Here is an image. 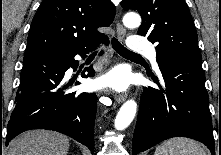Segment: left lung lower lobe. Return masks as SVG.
<instances>
[{"instance_id": "obj_1", "label": "left lung lower lobe", "mask_w": 221, "mask_h": 155, "mask_svg": "<svg viewBox=\"0 0 221 155\" xmlns=\"http://www.w3.org/2000/svg\"><path fill=\"white\" fill-rule=\"evenodd\" d=\"M157 62L164 89L144 88L132 154L137 155L165 139L182 136L204 143L215 155L201 59L171 54L157 58ZM154 81L160 85L158 80Z\"/></svg>"}]
</instances>
